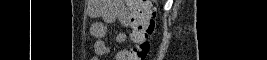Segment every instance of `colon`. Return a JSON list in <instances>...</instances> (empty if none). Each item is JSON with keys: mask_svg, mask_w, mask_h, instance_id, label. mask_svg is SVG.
I'll return each instance as SVG.
<instances>
[{"mask_svg": "<svg viewBox=\"0 0 267 60\" xmlns=\"http://www.w3.org/2000/svg\"><path fill=\"white\" fill-rule=\"evenodd\" d=\"M154 2L152 0H126L132 16L133 30L137 34L133 47V60H145L150 51L149 38L156 27Z\"/></svg>", "mask_w": 267, "mask_h": 60, "instance_id": "obj_1", "label": "colon"}]
</instances>
